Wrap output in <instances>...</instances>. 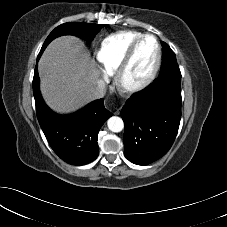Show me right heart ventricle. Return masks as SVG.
Here are the masks:
<instances>
[{
  "label": "right heart ventricle",
  "instance_id": "e07e8e85",
  "mask_svg": "<svg viewBox=\"0 0 227 227\" xmlns=\"http://www.w3.org/2000/svg\"><path fill=\"white\" fill-rule=\"evenodd\" d=\"M141 35L133 30L110 34L100 44L96 57L101 67L109 74L116 72L131 44Z\"/></svg>",
  "mask_w": 227,
  "mask_h": 227
}]
</instances>
